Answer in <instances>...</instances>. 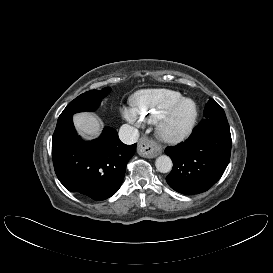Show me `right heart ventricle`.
Masks as SVG:
<instances>
[{"mask_svg": "<svg viewBox=\"0 0 273 273\" xmlns=\"http://www.w3.org/2000/svg\"><path fill=\"white\" fill-rule=\"evenodd\" d=\"M183 98V95L175 90L146 89L136 92L131 102L142 121L155 123L172 105Z\"/></svg>", "mask_w": 273, "mask_h": 273, "instance_id": "right-heart-ventricle-1", "label": "right heart ventricle"}]
</instances>
